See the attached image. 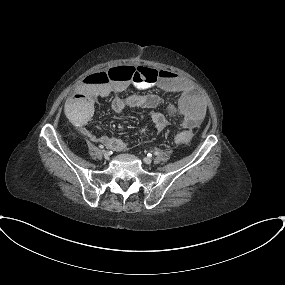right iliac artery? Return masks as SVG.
Listing matches in <instances>:
<instances>
[{
	"label": "right iliac artery",
	"instance_id": "82829eb1",
	"mask_svg": "<svg viewBox=\"0 0 285 285\" xmlns=\"http://www.w3.org/2000/svg\"><path fill=\"white\" fill-rule=\"evenodd\" d=\"M98 147H99L100 149H103V148H104V146H103V145H101V144H100Z\"/></svg>",
	"mask_w": 285,
	"mask_h": 285
}]
</instances>
